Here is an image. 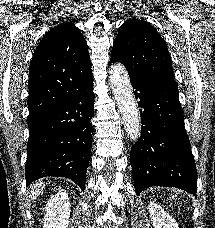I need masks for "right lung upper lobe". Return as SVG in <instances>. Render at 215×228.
Segmentation results:
<instances>
[{"mask_svg": "<svg viewBox=\"0 0 215 228\" xmlns=\"http://www.w3.org/2000/svg\"><path fill=\"white\" fill-rule=\"evenodd\" d=\"M28 119L68 95V87L92 75L87 42L72 23H61L45 34L29 68Z\"/></svg>", "mask_w": 215, "mask_h": 228, "instance_id": "right-lung-upper-lobe-1", "label": "right lung upper lobe"}]
</instances>
